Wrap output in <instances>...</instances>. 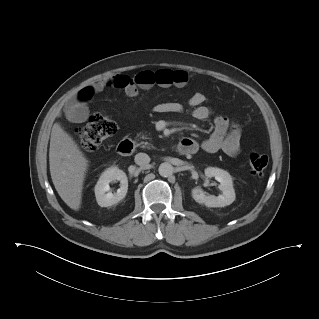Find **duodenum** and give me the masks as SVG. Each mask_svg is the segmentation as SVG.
I'll return each instance as SVG.
<instances>
[{
  "instance_id": "duodenum-1",
  "label": "duodenum",
  "mask_w": 319,
  "mask_h": 319,
  "mask_svg": "<svg viewBox=\"0 0 319 319\" xmlns=\"http://www.w3.org/2000/svg\"><path fill=\"white\" fill-rule=\"evenodd\" d=\"M196 147V144L192 141L182 140L178 145V153L186 156L192 154V150ZM134 149V143L131 140H122L117 147V151L121 155H128Z\"/></svg>"
}]
</instances>
